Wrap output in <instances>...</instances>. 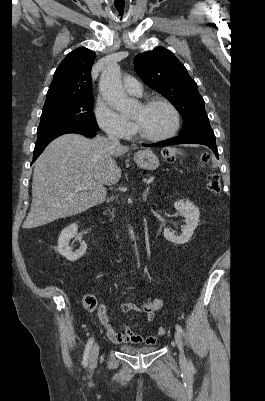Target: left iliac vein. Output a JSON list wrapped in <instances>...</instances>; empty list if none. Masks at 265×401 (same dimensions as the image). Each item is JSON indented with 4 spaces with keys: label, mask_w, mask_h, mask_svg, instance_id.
<instances>
[{
    "label": "left iliac vein",
    "mask_w": 265,
    "mask_h": 401,
    "mask_svg": "<svg viewBox=\"0 0 265 401\" xmlns=\"http://www.w3.org/2000/svg\"><path fill=\"white\" fill-rule=\"evenodd\" d=\"M175 342L176 345L180 351V362L186 363V358H185V353H184V348H183V342L180 336V333L177 331L175 332Z\"/></svg>",
    "instance_id": "obj_1"
}]
</instances>
